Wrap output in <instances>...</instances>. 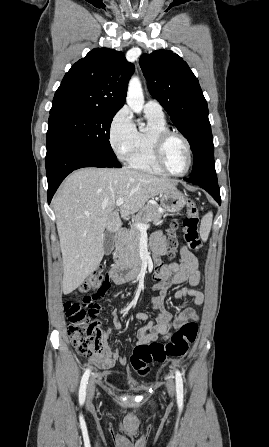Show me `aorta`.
<instances>
[{"label": "aorta", "instance_id": "762f6f07", "mask_svg": "<svg viewBox=\"0 0 269 447\" xmlns=\"http://www.w3.org/2000/svg\"><path fill=\"white\" fill-rule=\"evenodd\" d=\"M126 102L127 106H129L135 114H141L145 102L141 82L139 78H135V76H133L129 82ZM139 128L142 130L144 124H140Z\"/></svg>", "mask_w": 269, "mask_h": 447}]
</instances>
